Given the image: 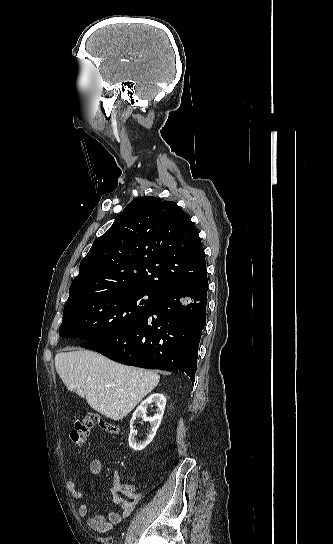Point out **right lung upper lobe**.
Returning a JSON list of instances; mask_svg holds the SVG:
<instances>
[{"label":"right lung upper lobe","instance_id":"obj_1","mask_svg":"<svg viewBox=\"0 0 333 544\" xmlns=\"http://www.w3.org/2000/svg\"><path fill=\"white\" fill-rule=\"evenodd\" d=\"M205 273L204 249L189 216L173 201L139 197L94 241L66 303L108 291L159 295Z\"/></svg>","mask_w":333,"mask_h":544}]
</instances>
